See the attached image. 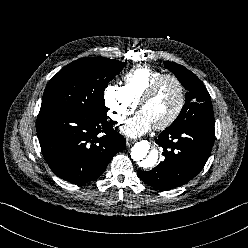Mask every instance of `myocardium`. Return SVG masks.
I'll list each match as a JSON object with an SVG mask.
<instances>
[{"label":"myocardium","mask_w":248,"mask_h":248,"mask_svg":"<svg viewBox=\"0 0 248 248\" xmlns=\"http://www.w3.org/2000/svg\"><path fill=\"white\" fill-rule=\"evenodd\" d=\"M167 79H171V80L176 82V84L179 88L180 100H179V104H178L176 110L174 111V113L170 117H168L166 120H164L163 122H161L159 124L153 125L154 129H156V130H163V129L169 127L181 115V113L185 107V104H186V90H185V87H184V84L182 83V81L177 76H175L173 74H164L152 82V84L144 92V94L142 95V97L140 98V100L137 103L138 108L140 110L141 107L154 96V94L156 93V91L158 90V88L162 84V82H164Z\"/></svg>","instance_id":"f54148a6"}]
</instances>
